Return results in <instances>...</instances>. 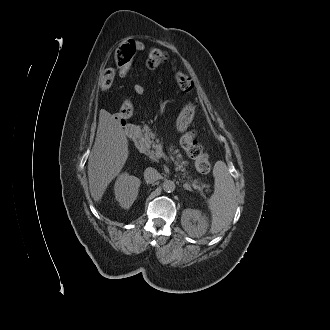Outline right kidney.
I'll return each instance as SVG.
<instances>
[{"label": "right kidney", "mask_w": 330, "mask_h": 330, "mask_svg": "<svg viewBox=\"0 0 330 330\" xmlns=\"http://www.w3.org/2000/svg\"><path fill=\"white\" fill-rule=\"evenodd\" d=\"M141 181L124 172L118 176L114 185L116 200L123 208H129L136 200Z\"/></svg>", "instance_id": "1"}]
</instances>
